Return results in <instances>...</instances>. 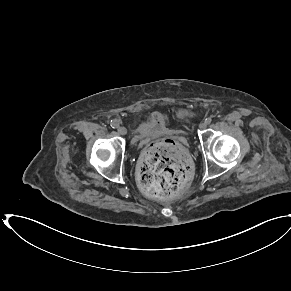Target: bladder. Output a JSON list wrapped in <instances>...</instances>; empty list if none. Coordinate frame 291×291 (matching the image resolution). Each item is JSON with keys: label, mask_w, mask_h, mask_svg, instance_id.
Masks as SVG:
<instances>
[{"label": "bladder", "mask_w": 291, "mask_h": 291, "mask_svg": "<svg viewBox=\"0 0 291 291\" xmlns=\"http://www.w3.org/2000/svg\"><path fill=\"white\" fill-rule=\"evenodd\" d=\"M170 129L166 117L163 114H156L152 119L136 127L137 134L143 136H157Z\"/></svg>", "instance_id": "obj_1"}]
</instances>
